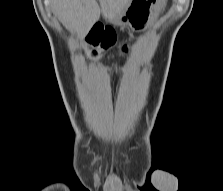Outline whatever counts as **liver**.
I'll return each mask as SVG.
<instances>
[{
  "label": "liver",
  "instance_id": "1",
  "mask_svg": "<svg viewBox=\"0 0 223 191\" xmlns=\"http://www.w3.org/2000/svg\"><path fill=\"white\" fill-rule=\"evenodd\" d=\"M53 12L69 30L84 35L96 23L101 12L106 18L114 19L123 12L131 0H51Z\"/></svg>",
  "mask_w": 223,
  "mask_h": 191
}]
</instances>
